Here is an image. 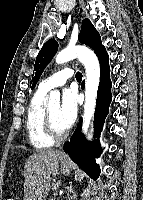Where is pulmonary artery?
Instances as JSON below:
<instances>
[{
  "mask_svg": "<svg viewBox=\"0 0 143 200\" xmlns=\"http://www.w3.org/2000/svg\"><path fill=\"white\" fill-rule=\"evenodd\" d=\"M74 75V71L72 69H64L61 70L52 76L46 78L43 80L39 88L45 92H48L56 87L64 85L69 78H71Z\"/></svg>",
  "mask_w": 143,
  "mask_h": 200,
  "instance_id": "1",
  "label": "pulmonary artery"
}]
</instances>
